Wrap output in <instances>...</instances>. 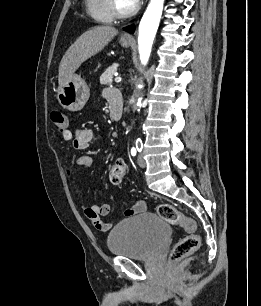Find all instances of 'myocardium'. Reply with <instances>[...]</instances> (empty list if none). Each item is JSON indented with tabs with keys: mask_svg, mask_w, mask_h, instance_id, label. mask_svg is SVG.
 I'll return each instance as SVG.
<instances>
[{
	"mask_svg": "<svg viewBox=\"0 0 261 306\" xmlns=\"http://www.w3.org/2000/svg\"><path fill=\"white\" fill-rule=\"evenodd\" d=\"M108 5L114 17L118 18H125L131 16L137 10V5H133L131 8L127 10H122L117 6L116 0H108Z\"/></svg>",
	"mask_w": 261,
	"mask_h": 306,
	"instance_id": "f54148a6",
	"label": "myocardium"
}]
</instances>
